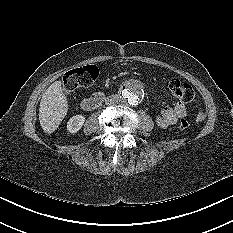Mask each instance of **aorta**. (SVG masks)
I'll return each instance as SVG.
<instances>
[{
    "label": "aorta",
    "mask_w": 233,
    "mask_h": 233,
    "mask_svg": "<svg viewBox=\"0 0 233 233\" xmlns=\"http://www.w3.org/2000/svg\"><path fill=\"white\" fill-rule=\"evenodd\" d=\"M144 91L141 82L137 80L128 81L120 93L121 100L124 104L135 106L140 103Z\"/></svg>",
    "instance_id": "1"
}]
</instances>
